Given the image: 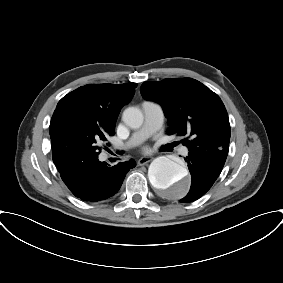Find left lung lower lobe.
I'll use <instances>...</instances> for the list:
<instances>
[{"label":"left lung lower lobe","instance_id":"left-lung-lower-lobe-1","mask_svg":"<svg viewBox=\"0 0 283 283\" xmlns=\"http://www.w3.org/2000/svg\"><path fill=\"white\" fill-rule=\"evenodd\" d=\"M191 173V187L189 193L180 201L192 202L204 195L213 185L222 169L204 165L199 159L187 156L185 159Z\"/></svg>","mask_w":283,"mask_h":283}]
</instances>
